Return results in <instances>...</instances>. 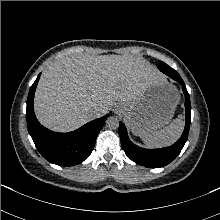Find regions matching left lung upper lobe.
Here are the masks:
<instances>
[{
	"label": "left lung upper lobe",
	"mask_w": 220,
	"mask_h": 220,
	"mask_svg": "<svg viewBox=\"0 0 220 220\" xmlns=\"http://www.w3.org/2000/svg\"><path fill=\"white\" fill-rule=\"evenodd\" d=\"M159 64H164V62L161 61Z\"/></svg>",
	"instance_id": "1"
}]
</instances>
